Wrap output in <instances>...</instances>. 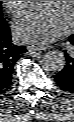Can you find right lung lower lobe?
Returning a JSON list of instances; mask_svg holds the SVG:
<instances>
[{"mask_svg":"<svg viewBox=\"0 0 74 122\" xmlns=\"http://www.w3.org/2000/svg\"><path fill=\"white\" fill-rule=\"evenodd\" d=\"M2 21L0 29V94L5 93L11 83L12 70L17 60L27 52L24 46L11 43L10 29Z\"/></svg>","mask_w":74,"mask_h":122,"instance_id":"right-lung-lower-lobe-1","label":"right lung lower lobe"}]
</instances>
